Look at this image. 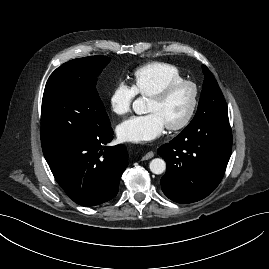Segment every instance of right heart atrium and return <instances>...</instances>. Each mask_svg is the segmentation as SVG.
Wrapping results in <instances>:
<instances>
[{
  "mask_svg": "<svg viewBox=\"0 0 269 269\" xmlns=\"http://www.w3.org/2000/svg\"><path fill=\"white\" fill-rule=\"evenodd\" d=\"M136 97L134 88L124 81H118L109 95L111 111L119 116L125 115L131 109Z\"/></svg>",
  "mask_w": 269,
  "mask_h": 269,
  "instance_id": "1",
  "label": "right heart atrium"
}]
</instances>
